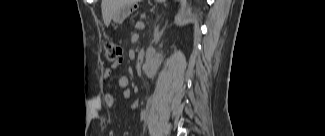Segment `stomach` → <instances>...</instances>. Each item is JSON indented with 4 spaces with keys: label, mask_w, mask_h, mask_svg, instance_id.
<instances>
[{
    "label": "stomach",
    "mask_w": 325,
    "mask_h": 136,
    "mask_svg": "<svg viewBox=\"0 0 325 136\" xmlns=\"http://www.w3.org/2000/svg\"><path fill=\"white\" fill-rule=\"evenodd\" d=\"M159 1L162 2V0ZM137 7H138L137 1H130L129 5L123 6L120 10L114 13L112 18L113 21L119 24L122 23L128 15H131L132 12L136 11Z\"/></svg>",
    "instance_id": "obj_1"
}]
</instances>
